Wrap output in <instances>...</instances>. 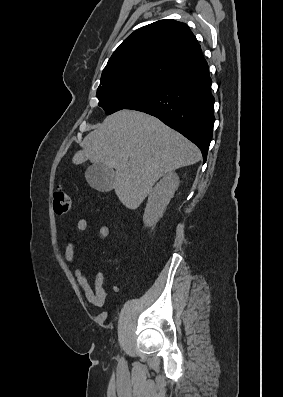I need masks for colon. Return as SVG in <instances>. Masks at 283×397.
<instances>
[{
	"mask_svg": "<svg viewBox=\"0 0 283 397\" xmlns=\"http://www.w3.org/2000/svg\"><path fill=\"white\" fill-rule=\"evenodd\" d=\"M53 207L57 214L67 213L71 208V198L63 189H56L53 198Z\"/></svg>",
	"mask_w": 283,
	"mask_h": 397,
	"instance_id": "colon-1",
	"label": "colon"
}]
</instances>
